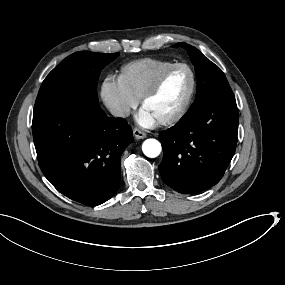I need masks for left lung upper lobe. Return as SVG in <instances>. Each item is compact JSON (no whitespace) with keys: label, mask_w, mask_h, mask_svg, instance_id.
Returning <instances> with one entry per match:
<instances>
[{"label":"left lung upper lobe","mask_w":285,"mask_h":285,"mask_svg":"<svg viewBox=\"0 0 285 285\" xmlns=\"http://www.w3.org/2000/svg\"><path fill=\"white\" fill-rule=\"evenodd\" d=\"M188 50L197 76V97L192 107L217 98H235L221 69L207 59L198 49L186 43L175 44Z\"/></svg>","instance_id":"5c2ea615"}]
</instances>
